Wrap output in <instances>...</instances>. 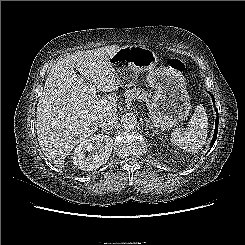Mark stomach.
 I'll return each mask as SVG.
<instances>
[{
	"mask_svg": "<svg viewBox=\"0 0 245 245\" xmlns=\"http://www.w3.org/2000/svg\"><path fill=\"white\" fill-rule=\"evenodd\" d=\"M157 55L144 46L121 47L110 59L119 84L133 86L140 72L146 71L154 94L149 105V119L156 129L169 130L183 121L191 109L183 75L172 68H156Z\"/></svg>",
	"mask_w": 245,
	"mask_h": 245,
	"instance_id": "obj_1",
	"label": "stomach"
}]
</instances>
